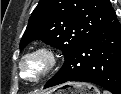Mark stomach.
<instances>
[{"label": "stomach", "mask_w": 121, "mask_h": 94, "mask_svg": "<svg viewBox=\"0 0 121 94\" xmlns=\"http://www.w3.org/2000/svg\"><path fill=\"white\" fill-rule=\"evenodd\" d=\"M46 94H100V92L91 84L76 82L60 85Z\"/></svg>", "instance_id": "1"}]
</instances>
